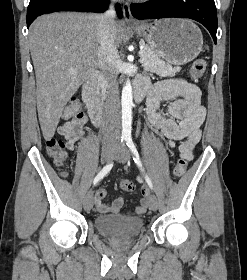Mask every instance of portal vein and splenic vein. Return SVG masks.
I'll list each match as a JSON object with an SVG mask.
<instances>
[{
	"instance_id": "portal-vein-and-splenic-vein-1",
	"label": "portal vein and splenic vein",
	"mask_w": 247,
	"mask_h": 280,
	"mask_svg": "<svg viewBox=\"0 0 247 280\" xmlns=\"http://www.w3.org/2000/svg\"><path fill=\"white\" fill-rule=\"evenodd\" d=\"M139 55H140V60H139V62H140V63H143V62L145 61V59L143 58L142 47H141V51L139 52Z\"/></svg>"
}]
</instances>
